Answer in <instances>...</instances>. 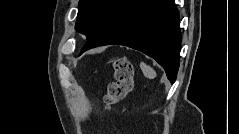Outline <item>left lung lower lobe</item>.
I'll return each instance as SVG.
<instances>
[{
	"instance_id": "1",
	"label": "left lung lower lobe",
	"mask_w": 239,
	"mask_h": 134,
	"mask_svg": "<svg viewBox=\"0 0 239 134\" xmlns=\"http://www.w3.org/2000/svg\"><path fill=\"white\" fill-rule=\"evenodd\" d=\"M174 0H124L80 54L96 46L125 45L154 58L173 83L179 68L181 32Z\"/></svg>"
}]
</instances>
